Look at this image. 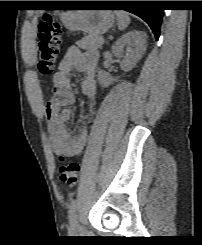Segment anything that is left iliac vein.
<instances>
[{"label":"left iliac vein","mask_w":202,"mask_h":245,"mask_svg":"<svg viewBox=\"0 0 202 245\" xmlns=\"http://www.w3.org/2000/svg\"><path fill=\"white\" fill-rule=\"evenodd\" d=\"M70 231H71L73 234H75V233L81 231L80 225H79V223H78L76 217H75V218L73 219V221L71 222Z\"/></svg>","instance_id":"left-iliac-vein-1"}]
</instances>
